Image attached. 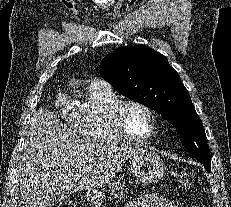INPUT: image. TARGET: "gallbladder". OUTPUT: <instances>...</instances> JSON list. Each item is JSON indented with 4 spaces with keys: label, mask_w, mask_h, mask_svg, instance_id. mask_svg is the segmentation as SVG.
I'll return each mask as SVG.
<instances>
[{
    "label": "gallbladder",
    "mask_w": 231,
    "mask_h": 207,
    "mask_svg": "<svg viewBox=\"0 0 231 207\" xmlns=\"http://www.w3.org/2000/svg\"><path fill=\"white\" fill-rule=\"evenodd\" d=\"M65 199H67V196L63 192H55L49 197L48 206L61 205Z\"/></svg>",
    "instance_id": "bac80fb5"
}]
</instances>
